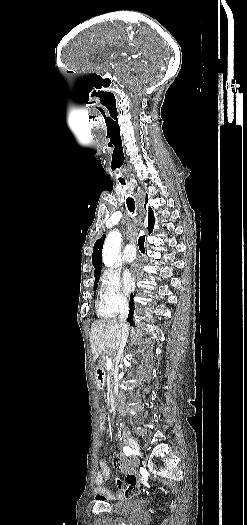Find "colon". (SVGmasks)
Masks as SVG:
<instances>
[{
  "label": "colon",
  "instance_id": "5ec220e1",
  "mask_svg": "<svg viewBox=\"0 0 247 525\" xmlns=\"http://www.w3.org/2000/svg\"><path fill=\"white\" fill-rule=\"evenodd\" d=\"M97 424H98L99 427L102 428V430H107L106 426L108 424V421H107L106 418H104V417L99 418L98 421H97Z\"/></svg>",
  "mask_w": 247,
  "mask_h": 525
}]
</instances>
